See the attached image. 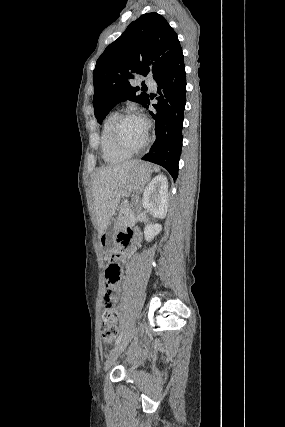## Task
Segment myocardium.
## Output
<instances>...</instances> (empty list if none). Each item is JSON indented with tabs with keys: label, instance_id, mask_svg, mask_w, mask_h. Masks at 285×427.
<instances>
[{
	"label": "myocardium",
	"instance_id": "obj_1",
	"mask_svg": "<svg viewBox=\"0 0 285 427\" xmlns=\"http://www.w3.org/2000/svg\"><path fill=\"white\" fill-rule=\"evenodd\" d=\"M128 118H139V116L132 112H124V113L118 114L112 125L111 135H112L113 142L118 149H120L125 153L134 154L144 149L149 142L148 125H146V136L143 142L136 147H130L123 142L120 135L121 124L124 120Z\"/></svg>",
	"mask_w": 285,
	"mask_h": 427
}]
</instances>
